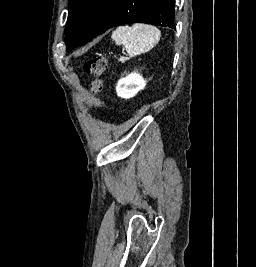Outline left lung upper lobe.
<instances>
[{
	"instance_id": "left-lung-upper-lobe-1",
	"label": "left lung upper lobe",
	"mask_w": 256,
	"mask_h": 267,
	"mask_svg": "<svg viewBox=\"0 0 256 267\" xmlns=\"http://www.w3.org/2000/svg\"><path fill=\"white\" fill-rule=\"evenodd\" d=\"M174 7L175 0H69L67 51L118 25L148 23L176 29Z\"/></svg>"
}]
</instances>
